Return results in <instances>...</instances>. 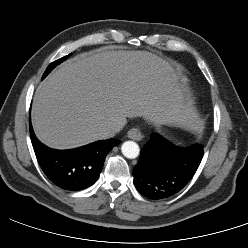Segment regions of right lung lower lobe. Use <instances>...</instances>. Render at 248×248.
Instances as JSON below:
<instances>
[{"instance_id": "right-lung-lower-lobe-1", "label": "right lung lower lobe", "mask_w": 248, "mask_h": 248, "mask_svg": "<svg viewBox=\"0 0 248 248\" xmlns=\"http://www.w3.org/2000/svg\"><path fill=\"white\" fill-rule=\"evenodd\" d=\"M30 136L45 175L58 187L70 191L83 190L93 185L100 175L106 155L121 142L112 138L72 150H54L40 143L31 123Z\"/></svg>"}]
</instances>
